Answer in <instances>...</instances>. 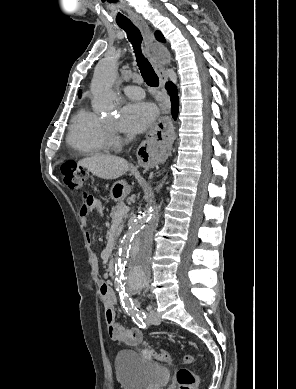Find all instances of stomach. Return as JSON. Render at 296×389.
I'll use <instances>...</instances> for the list:
<instances>
[{"instance_id":"stomach-1","label":"stomach","mask_w":296,"mask_h":389,"mask_svg":"<svg viewBox=\"0 0 296 389\" xmlns=\"http://www.w3.org/2000/svg\"><path fill=\"white\" fill-rule=\"evenodd\" d=\"M129 192V186L125 181L116 182L111 189V197L115 201L123 199Z\"/></svg>"}]
</instances>
